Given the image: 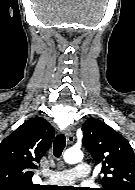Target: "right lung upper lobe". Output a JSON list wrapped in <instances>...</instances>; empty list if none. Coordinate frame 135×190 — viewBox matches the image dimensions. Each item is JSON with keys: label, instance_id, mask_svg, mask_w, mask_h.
Listing matches in <instances>:
<instances>
[{"label": "right lung upper lobe", "instance_id": "obj_1", "mask_svg": "<svg viewBox=\"0 0 135 190\" xmlns=\"http://www.w3.org/2000/svg\"><path fill=\"white\" fill-rule=\"evenodd\" d=\"M54 130L42 118L25 121L0 143V185L35 186L32 184L35 162L47 152Z\"/></svg>", "mask_w": 135, "mask_h": 190}]
</instances>
